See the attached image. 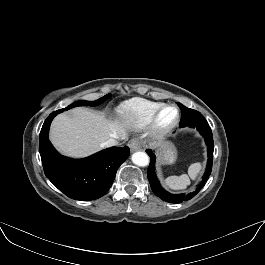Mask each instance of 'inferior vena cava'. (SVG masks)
<instances>
[{
	"label": "inferior vena cava",
	"mask_w": 265,
	"mask_h": 265,
	"mask_svg": "<svg viewBox=\"0 0 265 265\" xmlns=\"http://www.w3.org/2000/svg\"><path fill=\"white\" fill-rule=\"evenodd\" d=\"M117 144L118 141L115 138H109L102 144V147H111V146H116Z\"/></svg>",
	"instance_id": "obj_1"
}]
</instances>
